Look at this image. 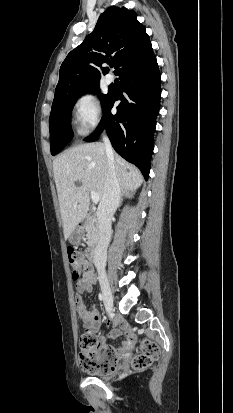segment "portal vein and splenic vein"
I'll return each instance as SVG.
<instances>
[{
    "mask_svg": "<svg viewBox=\"0 0 233 413\" xmlns=\"http://www.w3.org/2000/svg\"><path fill=\"white\" fill-rule=\"evenodd\" d=\"M90 194H91L92 202L95 203V204L98 203L99 200H100V197H99L98 193L95 192L94 190H91Z\"/></svg>",
    "mask_w": 233,
    "mask_h": 413,
    "instance_id": "18ae733b",
    "label": "portal vein and splenic vein"
}]
</instances>
